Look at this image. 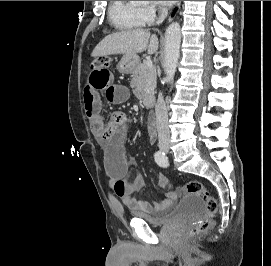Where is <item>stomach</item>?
Returning <instances> with one entry per match:
<instances>
[{
  "label": "stomach",
  "mask_w": 271,
  "mask_h": 266,
  "mask_svg": "<svg viewBox=\"0 0 271 266\" xmlns=\"http://www.w3.org/2000/svg\"><path fill=\"white\" fill-rule=\"evenodd\" d=\"M139 64V57L137 54H125L121 58L118 64V70L121 73H128L133 71L136 66Z\"/></svg>",
  "instance_id": "0dacf381"
}]
</instances>
